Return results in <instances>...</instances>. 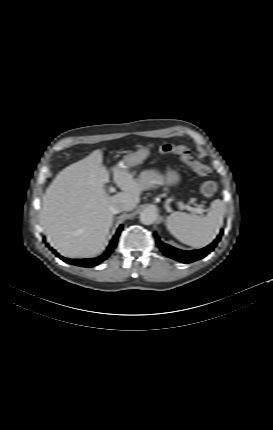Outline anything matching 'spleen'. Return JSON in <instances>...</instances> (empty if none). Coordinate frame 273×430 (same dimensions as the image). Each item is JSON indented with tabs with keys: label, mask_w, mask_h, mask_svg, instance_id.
I'll return each mask as SVG.
<instances>
[{
	"label": "spleen",
	"mask_w": 273,
	"mask_h": 430,
	"mask_svg": "<svg viewBox=\"0 0 273 430\" xmlns=\"http://www.w3.org/2000/svg\"><path fill=\"white\" fill-rule=\"evenodd\" d=\"M224 203L216 199L206 216L174 212L167 217L168 231L180 242L201 248L208 245L219 233L222 226Z\"/></svg>",
	"instance_id": "1"
}]
</instances>
